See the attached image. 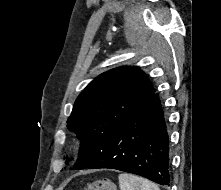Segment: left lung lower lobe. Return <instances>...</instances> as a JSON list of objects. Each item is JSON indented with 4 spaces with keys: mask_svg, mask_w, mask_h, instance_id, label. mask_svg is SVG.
Instances as JSON below:
<instances>
[{
    "mask_svg": "<svg viewBox=\"0 0 221 190\" xmlns=\"http://www.w3.org/2000/svg\"><path fill=\"white\" fill-rule=\"evenodd\" d=\"M88 168L117 169L169 185V138L156 92L118 127L106 148Z\"/></svg>",
    "mask_w": 221,
    "mask_h": 190,
    "instance_id": "0a47b994",
    "label": "left lung lower lobe"
}]
</instances>
